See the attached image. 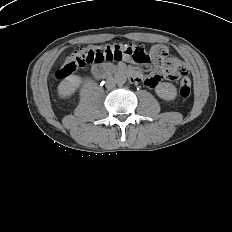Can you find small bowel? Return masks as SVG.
<instances>
[{
	"instance_id": "obj_1",
	"label": "small bowel",
	"mask_w": 232,
	"mask_h": 232,
	"mask_svg": "<svg viewBox=\"0 0 232 232\" xmlns=\"http://www.w3.org/2000/svg\"><path fill=\"white\" fill-rule=\"evenodd\" d=\"M173 60L177 67L183 68V62L181 60L179 59H173ZM163 78H164V70L160 65H158L154 73H152L147 77H144L142 81L148 86H156Z\"/></svg>"
}]
</instances>
